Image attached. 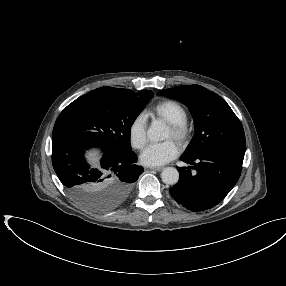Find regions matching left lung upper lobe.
Listing matches in <instances>:
<instances>
[{"mask_svg": "<svg viewBox=\"0 0 286 286\" xmlns=\"http://www.w3.org/2000/svg\"><path fill=\"white\" fill-rule=\"evenodd\" d=\"M158 95L182 102L193 116L195 134L185 156H196L211 150L245 154L242 124L219 95L195 84L160 90Z\"/></svg>", "mask_w": 286, "mask_h": 286, "instance_id": "obj_1", "label": "left lung upper lobe"}]
</instances>
